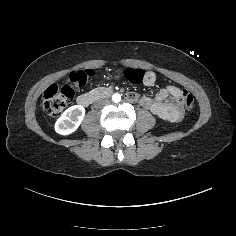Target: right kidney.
Wrapping results in <instances>:
<instances>
[{"mask_svg": "<svg viewBox=\"0 0 236 236\" xmlns=\"http://www.w3.org/2000/svg\"><path fill=\"white\" fill-rule=\"evenodd\" d=\"M85 116V108L74 105L66 109L55 123V131L61 135H68L76 131Z\"/></svg>", "mask_w": 236, "mask_h": 236, "instance_id": "ca27d5eb", "label": "right kidney"}]
</instances>
